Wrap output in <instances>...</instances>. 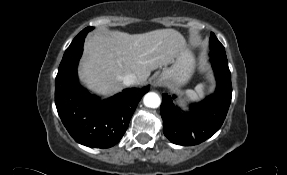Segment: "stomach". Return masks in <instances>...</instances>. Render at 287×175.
<instances>
[{
    "label": "stomach",
    "instance_id": "obj_1",
    "mask_svg": "<svg viewBox=\"0 0 287 175\" xmlns=\"http://www.w3.org/2000/svg\"><path fill=\"white\" fill-rule=\"evenodd\" d=\"M171 64L161 72L160 81L174 87L184 86L195 70L196 62L193 53L183 45Z\"/></svg>",
    "mask_w": 287,
    "mask_h": 175
}]
</instances>
